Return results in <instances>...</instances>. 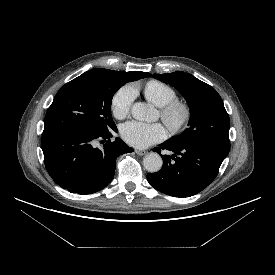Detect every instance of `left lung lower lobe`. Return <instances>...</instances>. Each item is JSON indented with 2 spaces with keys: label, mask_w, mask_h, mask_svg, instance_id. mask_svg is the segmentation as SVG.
I'll return each instance as SVG.
<instances>
[{
  "label": "left lung lower lobe",
  "mask_w": 275,
  "mask_h": 275,
  "mask_svg": "<svg viewBox=\"0 0 275 275\" xmlns=\"http://www.w3.org/2000/svg\"><path fill=\"white\" fill-rule=\"evenodd\" d=\"M161 149L173 152L162 155L163 166L157 173H148L147 180L156 190L173 197H190L205 189L217 176L228 152L203 145L166 142Z\"/></svg>",
  "instance_id": "0a47b994"
}]
</instances>
